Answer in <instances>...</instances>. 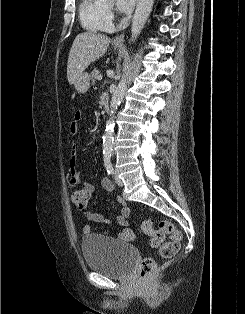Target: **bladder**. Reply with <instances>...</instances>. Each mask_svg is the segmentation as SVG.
<instances>
[{
    "label": "bladder",
    "instance_id": "obj_1",
    "mask_svg": "<svg viewBox=\"0 0 245 314\" xmlns=\"http://www.w3.org/2000/svg\"><path fill=\"white\" fill-rule=\"evenodd\" d=\"M81 248L86 266L110 277L125 276L138 258L132 246L97 234L84 236Z\"/></svg>",
    "mask_w": 245,
    "mask_h": 314
}]
</instances>
